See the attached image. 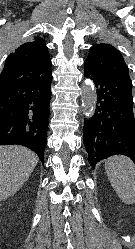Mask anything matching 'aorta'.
I'll use <instances>...</instances> for the list:
<instances>
[{
    "label": "aorta",
    "instance_id": "1",
    "mask_svg": "<svg viewBox=\"0 0 135 249\" xmlns=\"http://www.w3.org/2000/svg\"><path fill=\"white\" fill-rule=\"evenodd\" d=\"M81 100L84 114L92 117L96 108L97 93L93 82L85 81L82 86Z\"/></svg>",
    "mask_w": 135,
    "mask_h": 249
}]
</instances>
